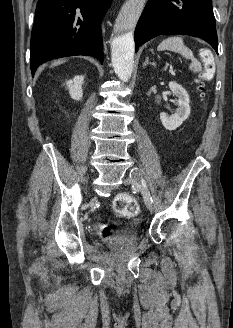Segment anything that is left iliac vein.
I'll list each match as a JSON object with an SVG mask.
<instances>
[{"label":"left iliac vein","instance_id":"4c4485c4","mask_svg":"<svg viewBox=\"0 0 233 328\" xmlns=\"http://www.w3.org/2000/svg\"><path fill=\"white\" fill-rule=\"evenodd\" d=\"M142 180V173L138 168H134L131 173L130 176L128 178L125 179V183L132 185V186H136L140 183V181ZM146 206L148 208V210L150 212L153 211V207L152 204L149 202H146Z\"/></svg>","mask_w":233,"mask_h":328}]
</instances>
